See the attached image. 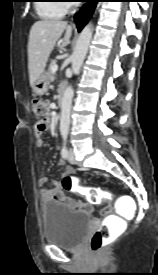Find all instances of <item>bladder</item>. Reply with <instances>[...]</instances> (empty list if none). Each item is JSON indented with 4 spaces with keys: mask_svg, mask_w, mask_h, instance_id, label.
<instances>
[{
    "mask_svg": "<svg viewBox=\"0 0 158 275\" xmlns=\"http://www.w3.org/2000/svg\"><path fill=\"white\" fill-rule=\"evenodd\" d=\"M42 216L44 240L63 249L78 248L91 223L88 214L57 202L46 203Z\"/></svg>",
    "mask_w": 158,
    "mask_h": 275,
    "instance_id": "obj_1",
    "label": "bladder"
}]
</instances>
